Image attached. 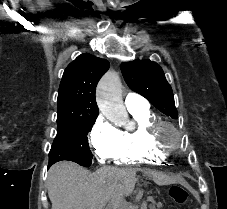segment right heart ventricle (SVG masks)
Returning <instances> with one entry per match:
<instances>
[{
    "instance_id": "right-heart-ventricle-1",
    "label": "right heart ventricle",
    "mask_w": 227,
    "mask_h": 209,
    "mask_svg": "<svg viewBox=\"0 0 227 209\" xmlns=\"http://www.w3.org/2000/svg\"><path fill=\"white\" fill-rule=\"evenodd\" d=\"M133 129L121 131V141L113 160L117 165H141L163 162L169 154L152 146L145 137V127L157 117L145 107L128 109Z\"/></svg>"
}]
</instances>
